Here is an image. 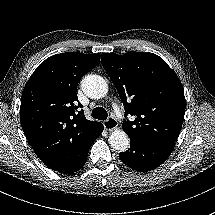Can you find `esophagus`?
Returning a JSON list of instances; mask_svg holds the SVG:
<instances>
[{"instance_id": "esophagus-1", "label": "esophagus", "mask_w": 215, "mask_h": 215, "mask_svg": "<svg viewBox=\"0 0 215 215\" xmlns=\"http://www.w3.org/2000/svg\"><path fill=\"white\" fill-rule=\"evenodd\" d=\"M103 126L106 130L113 131L117 128L118 122L114 117L110 116L107 120L103 121Z\"/></svg>"}]
</instances>
